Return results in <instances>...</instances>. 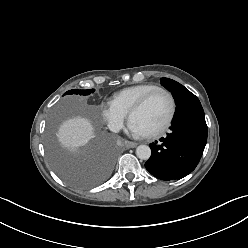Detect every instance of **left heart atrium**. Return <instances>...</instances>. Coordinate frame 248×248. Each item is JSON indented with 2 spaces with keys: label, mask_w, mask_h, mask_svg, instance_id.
I'll return each mask as SVG.
<instances>
[{
  "label": "left heart atrium",
  "mask_w": 248,
  "mask_h": 248,
  "mask_svg": "<svg viewBox=\"0 0 248 248\" xmlns=\"http://www.w3.org/2000/svg\"><path fill=\"white\" fill-rule=\"evenodd\" d=\"M129 131L136 136H144L145 135L143 130L132 121H130V123H129Z\"/></svg>",
  "instance_id": "left-heart-atrium-1"
}]
</instances>
